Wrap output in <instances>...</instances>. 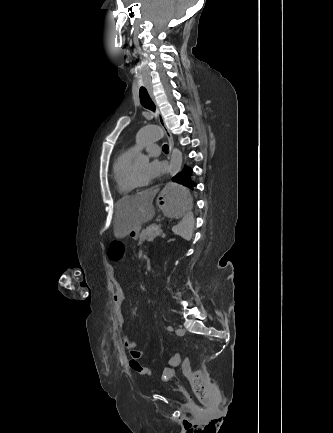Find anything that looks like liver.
I'll use <instances>...</instances> for the list:
<instances>
[{"instance_id":"obj_1","label":"liver","mask_w":333,"mask_h":433,"mask_svg":"<svg viewBox=\"0 0 333 433\" xmlns=\"http://www.w3.org/2000/svg\"><path fill=\"white\" fill-rule=\"evenodd\" d=\"M152 192L143 191L135 196H125L115 205L114 236L121 239L131 232H139L141 226L155 216Z\"/></svg>"}]
</instances>
